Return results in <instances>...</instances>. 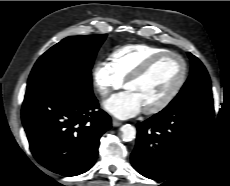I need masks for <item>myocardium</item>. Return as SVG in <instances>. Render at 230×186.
I'll return each instance as SVG.
<instances>
[{
  "label": "myocardium",
  "instance_id": "f54148a6",
  "mask_svg": "<svg viewBox=\"0 0 230 186\" xmlns=\"http://www.w3.org/2000/svg\"><path fill=\"white\" fill-rule=\"evenodd\" d=\"M166 57H175L181 62L182 73H181L180 79L175 84V86L172 88V90L160 102H158L152 107L143 109L144 113L146 114H156L164 110L166 107H168L173 102L176 96L180 93L188 77L189 68H188V64L186 60L180 54L176 52L165 51V52L156 54L152 56L151 58H149L140 68H138L133 74H131L125 80L124 86L126 87L127 84L143 78L159 61H161L162 59Z\"/></svg>",
  "mask_w": 230,
  "mask_h": 186
}]
</instances>
